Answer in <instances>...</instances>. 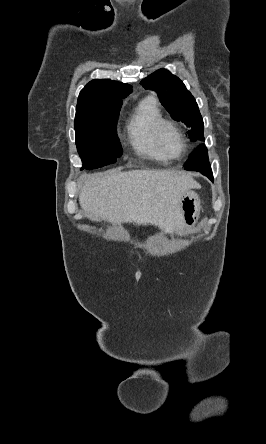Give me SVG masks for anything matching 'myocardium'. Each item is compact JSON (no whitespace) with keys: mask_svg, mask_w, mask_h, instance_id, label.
I'll use <instances>...</instances> for the list:
<instances>
[{"mask_svg":"<svg viewBox=\"0 0 266 444\" xmlns=\"http://www.w3.org/2000/svg\"><path fill=\"white\" fill-rule=\"evenodd\" d=\"M167 126L172 127V128L177 132V134L179 135L180 140H181V151H180V153H179L178 156H182V155L185 153V151H186V148H187V142H186V138H185V135H184L182 129H181V128L179 127V125H178L176 122H174V121L167 120V119H163V120H161V121L157 124V126H156V128H155V142H156V145H157L158 149H159V150H160V151H161L166 157H169V156H170V155H168V153H167L166 150L164 149V147H163V145H162V142H161V134H162V131H163V129H164L165 127H167Z\"/></svg>","mask_w":266,"mask_h":444,"instance_id":"f54148a6","label":"myocardium"}]
</instances>
